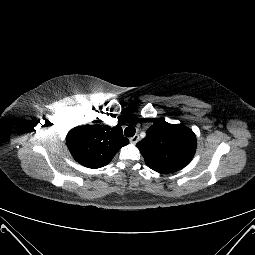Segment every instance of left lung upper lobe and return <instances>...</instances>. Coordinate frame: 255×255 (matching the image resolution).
<instances>
[{"label": "left lung upper lobe", "instance_id": "left-lung-upper-lobe-1", "mask_svg": "<svg viewBox=\"0 0 255 255\" xmlns=\"http://www.w3.org/2000/svg\"><path fill=\"white\" fill-rule=\"evenodd\" d=\"M136 146L149 168L167 174L184 168L191 161L197 141L190 128L156 120Z\"/></svg>", "mask_w": 255, "mask_h": 255}]
</instances>
